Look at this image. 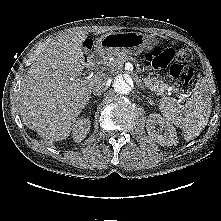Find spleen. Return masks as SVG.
I'll list each match as a JSON object with an SVG mask.
<instances>
[{
  "label": "spleen",
  "instance_id": "obj_1",
  "mask_svg": "<svg viewBox=\"0 0 221 221\" xmlns=\"http://www.w3.org/2000/svg\"><path fill=\"white\" fill-rule=\"evenodd\" d=\"M160 110L167 122L182 129L185 140L194 139L205 128L211 114L207 85L204 82L197 83L185 105H180L173 98H165Z\"/></svg>",
  "mask_w": 221,
  "mask_h": 221
}]
</instances>
